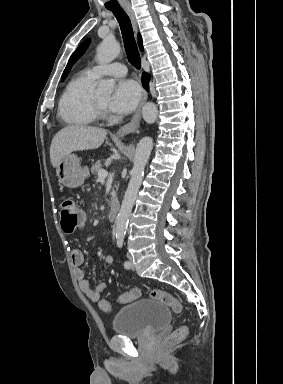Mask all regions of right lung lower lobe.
<instances>
[{"label":"right lung lower lobe","mask_w":283,"mask_h":384,"mask_svg":"<svg viewBox=\"0 0 283 384\" xmlns=\"http://www.w3.org/2000/svg\"><path fill=\"white\" fill-rule=\"evenodd\" d=\"M148 82H149V76L144 73L143 76H142V83H143V86L144 88L148 89Z\"/></svg>","instance_id":"right-lung-lower-lobe-1"}]
</instances>
